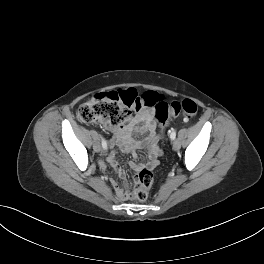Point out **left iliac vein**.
<instances>
[{
	"instance_id": "obj_1",
	"label": "left iliac vein",
	"mask_w": 264,
	"mask_h": 264,
	"mask_svg": "<svg viewBox=\"0 0 264 264\" xmlns=\"http://www.w3.org/2000/svg\"><path fill=\"white\" fill-rule=\"evenodd\" d=\"M180 146H181V144H180L179 140L176 139V140L173 141V149L174 150H179Z\"/></svg>"
}]
</instances>
